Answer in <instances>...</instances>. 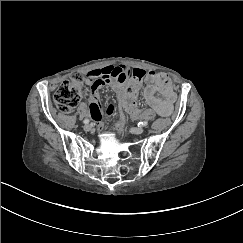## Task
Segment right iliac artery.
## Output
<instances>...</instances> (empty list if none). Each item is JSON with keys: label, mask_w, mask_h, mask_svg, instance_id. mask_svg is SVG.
Segmentation results:
<instances>
[{"label": "right iliac artery", "mask_w": 243, "mask_h": 243, "mask_svg": "<svg viewBox=\"0 0 243 243\" xmlns=\"http://www.w3.org/2000/svg\"><path fill=\"white\" fill-rule=\"evenodd\" d=\"M83 123H84V124H88V123H89V120H88V119H85V120L83 121Z\"/></svg>", "instance_id": "right-iliac-artery-1"}]
</instances>
